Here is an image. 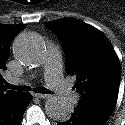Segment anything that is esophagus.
<instances>
[{
	"label": "esophagus",
	"instance_id": "34e87169",
	"mask_svg": "<svg viewBox=\"0 0 125 125\" xmlns=\"http://www.w3.org/2000/svg\"><path fill=\"white\" fill-rule=\"evenodd\" d=\"M33 96L36 98H41V99H45V98H49L50 95L48 94H42V93H33Z\"/></svg>",
	"mask_w": 125,
	"mask_h": 125
}]
</instances>
